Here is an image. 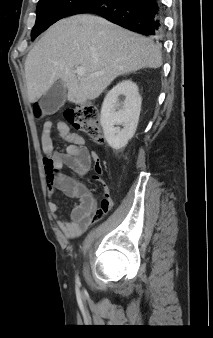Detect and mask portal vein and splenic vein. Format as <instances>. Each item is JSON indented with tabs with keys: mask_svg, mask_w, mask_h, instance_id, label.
Returning <instances> with one entry per match:
<instances>
[{
	"mask_svg": "<svg viewBox=\"0 0 213 338\" xmlns=\"http://www.w3.org/2000/svg\"><path fill=\"white\" fill-rule=\"evenodd\" d=\"M76 74L78 75V76H83V75H85V70H84V68L83 67H77V69H76ZM90 76H94V74H91Z\"/></svg>",
	"mask_w": 213,
	"mask_h": 338,
	"instance_id": "1",
	"label": "portal vein and splenic vein"
}]
</instances>
